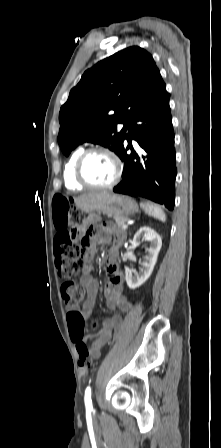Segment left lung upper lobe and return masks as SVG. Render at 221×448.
Segmentation results:
<instances>
[{"instance_id":"5c2ea615","label":"left lung upper lobe","mask_w":221,"mask_h":448,"mask_svg":"<svg viewBox=\"0 0 221 448\" xmlns=\"http://www.w3.org/2000/svg\"><path fill=\"white\" fill-rule=\"evenodd\" d=\"M165 87L152 56L138 46L98 62L85 71L60 109L58 143L63 154L92 142L119 155L133 119Z\"/></svg>"}]
</instances>
